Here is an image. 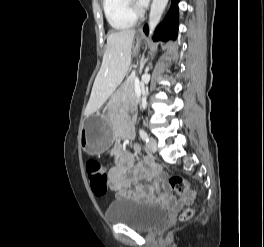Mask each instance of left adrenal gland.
<instances>
[{"label": "left adrenal gland", "mask_w": 264, "mask_h": 247, "mask_svg": "<svg viewBox=\"0 0 264 247\" xmlns=\"http://www.w3.org/2000/svg\"><path fill=\"white\" fill-rule=\"evenodd\" d=\"M148 59H149V58L144 59V57H142V59H141V66H140V69H141V70L143 69V67H144L145 63L148 61Z\"/></svg>", "instance_id": "obj_1"}]
</instances>
